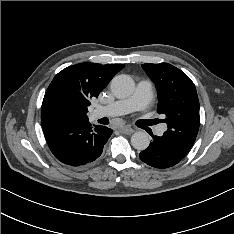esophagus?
Listing matches in <instances>:
<instances>
[{
	"label": "esophagus",
	"mask_w": 234,
	"mask_h": 234,
	"mask_svg": "<svg viewBox=\"0 0 234 234\" xmlns=\"http://www.w3.org/2000/svg\"><path fill=\"white\" fill-rule=\"evenodd\" d=\"M120 132L123 134L130 135L134 132V130L130 126H124L120 129Z\"/></svg>",
	"instance_id": "1"
}]
</instances>
